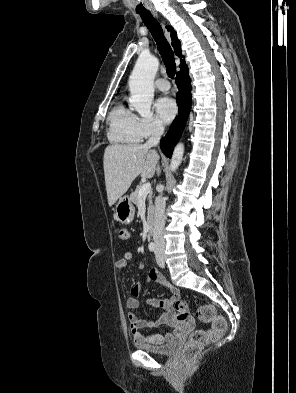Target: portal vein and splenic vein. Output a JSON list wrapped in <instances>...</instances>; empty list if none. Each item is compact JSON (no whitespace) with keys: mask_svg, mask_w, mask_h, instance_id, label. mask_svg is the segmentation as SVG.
I'll list each match as a JSON object with an SVG mask.
<instances>
[{"mask_svg":"<svg viewBox=\"0 0 296 393\" xmlns=\"http://www.w3.org/2000/svg\"><path fill=\"white\" fill-rule=\"evenodd\" d=\"M151 192V184L145 183L139 191V199L145 198Z\"/></svg>","mask_w":296,"mask_h":393,"instance_id":"18ae733b","label":"portal vein and splenic vein"}]
</instances>
